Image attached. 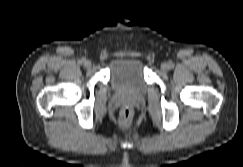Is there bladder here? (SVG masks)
<instances>
[{
    "label": "bladder",
    "mask_w": 243,
    "mask_h": 167,
    "mask_svg": "<svg viewBox=\"0 0 243 167\" xmlns=\"http://www.w3.org/2000/svg\"><path fill=\"white\" fill-rule=\"evenodd\" d=\"M111 81L120 93L137 96L146 90L142 63L135 57H119L111 65Z\"/></svg>",
    "instance_id": "1"
}]
</instances>
